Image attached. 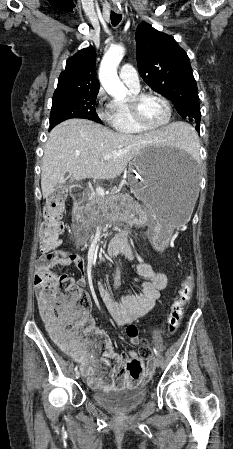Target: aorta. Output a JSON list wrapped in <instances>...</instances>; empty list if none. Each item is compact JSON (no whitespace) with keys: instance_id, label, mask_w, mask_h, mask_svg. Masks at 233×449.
Masks as SVG:
<instances>
[{"instance_id":"obj_1","label":"aorta","mask_w":233,"mask_h":449,"mask_svg":"<svg viewBox=\"0 0 233 449\" xmlns=\"http://www.w3.org/2000/svg\"><path fill=\"white\" fill-rule=\"evenodd\" d=\"M125 49L121 45L112 46L105 53L99 68V80L115 100H123L127 94V88L117 75V67L124 56Z\"/></svg>"}]
</instances>
